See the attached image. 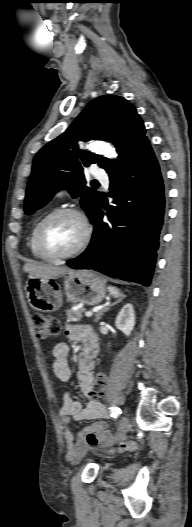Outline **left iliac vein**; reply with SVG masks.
Here are the masks:
<instances>
[{"label":"left iliac vein","instance_id":"4c4485c4","mask_svg":"<svg viewBox=\"0 0 192 527\" xmlns=\"http://www.w3.org/2000/svg\"><path fill=\"white\" fill-rule=\"evenodd\" d=\"M128 428H129V420L126 416H123L119 424L118 433L113 438V440L110 442V445L119 442L127 433Z\"/></svg>","mask_w":192,"mask_h":527}]
</instances>
